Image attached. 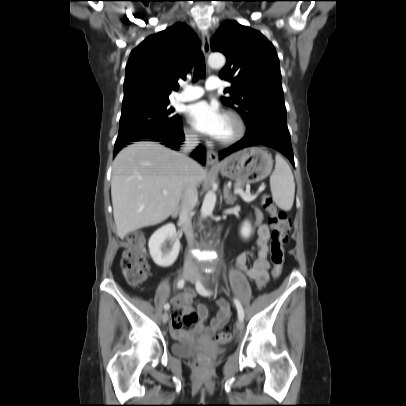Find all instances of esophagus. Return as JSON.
Segmentation results:
<instances>
[{
  "label": "esophagus",
  "instance_id": "esophagus-1",
  "mask_svg": "<svg viewBox=\"0 0 406 406\" xmlns=\"http://www.w3.org/2000/svg\"><path fill=\"white\" fill-rule=\"evenodd\" d=\"M202 49L204 55L207 57L210 52L209 32L207 30L202 32ZM207 163L210 165L218 163V154L216 151L212 149L207 150Z\"/></svg>",
  "mask_w": 406,
  "mask_h": 406
}]
</instances>
